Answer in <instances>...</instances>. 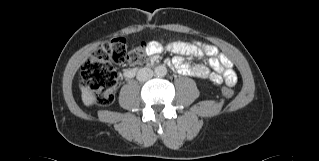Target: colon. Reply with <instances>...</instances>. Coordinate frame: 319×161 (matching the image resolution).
Returning a JSON list of instances; mask_svg holds the SVG:
<instances>
[{
	"mask_svg": "<svg viewBox=\"0 0 319 161\" xmlns=\"http://www.w3.org/2000/svg\"><path fill=\"white\" fill-rule=\"evenodd\" d=\"M149 55L148 46L140 45L130 52L124 37H114L104 42L85 60L81 68L83 88L95 95V99L102 105H109L115 99L118 76L115 64L125 62L141 63ZM222 94L232 97L234 90L231 85L223 86Z\"/></svg>",
	"mask_w": 319,
	"mask_h": 161,
	"instance_id": "5ec220e1",
	"label": "colon"
}]
</instances>
